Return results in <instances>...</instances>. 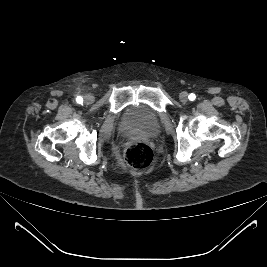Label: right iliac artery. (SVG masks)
<instances>
[{
  "mask_svg": "<svg viewBox=\"0 0 267 267\" xmlns=\"http://www.w3.org/2000/svg\"><path fill=\"white\" fill-rule=\"evenodd\" d=\"M76 101H77L78 103H82V102H83V98H82V97H77Z\"/></svg>",
  "mask_w": 267,
  "mask_h": 267,
  "instance_id": "82829eb1",
  "label": "right iliac artery"
}]
</instances>
